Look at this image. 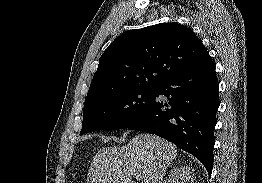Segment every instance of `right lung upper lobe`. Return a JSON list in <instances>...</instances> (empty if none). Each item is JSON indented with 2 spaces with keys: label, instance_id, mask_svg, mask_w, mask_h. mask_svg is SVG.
Wrapping results in <instances>:
<instances>
[{
  "label": "right lung upper lobe",
  "instance_id": "obj_1",
  "mask_svg": "<svg viewBox=\"0 0 262 183\" xmlns=\"http://www.w3.org/2000/svg\"><path fill=\"white\" fill-rule=\"evenodd\" d=\"M209 61L211 57L201 40L179 23L129 30L100 57L85 101L131 88H156Z\"/></svg>",
  "mask_w": 262,
  "mask_h": 183
}]
</instances>
